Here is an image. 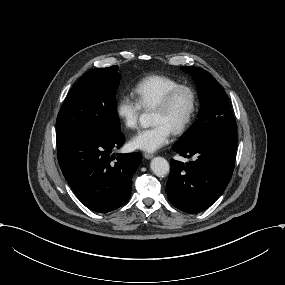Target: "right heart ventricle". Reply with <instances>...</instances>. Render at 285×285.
Returning <instances> with one entry per match:
<instances>
[{"mask_svg": "<svg viewBox=\"0 0 285 285\" xmlns=\"http://www.w3.org/2000/svg\"><path fill=\"white\" fill-rule=\"evenodd\" d=\"M180 82L166 75H151L139 81L134 93L144 109L153 108L156 103Z\"/></svg>", "mask_w": 285, "mask_h": 285, "instance_id": "right-heart-ventricle-1", "label": "right heart ventricle"}]
</instances>
